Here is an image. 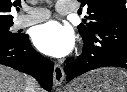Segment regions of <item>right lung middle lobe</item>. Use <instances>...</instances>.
Here are the masks:
<instances>
[{
	"mask_svg": "<svg viewBox=\"0 0 127 92\" xmlns=\"http://www.w3.org/2000/svg\"><path fill=\"white\" fill-rule=\"evenodd\" d=\"M13 23L0 25V40L17 41L23 37V34L12 33L10 27Z\"/></svg>",
	"mask_w": 127,
	"mask_h": 92,
	"instance_id": "dd1d6c3e",
	"label": "right lung middle lobe"
}]
</instances>
